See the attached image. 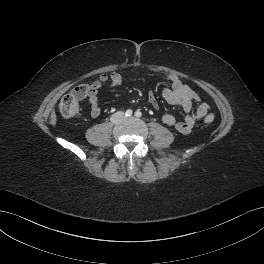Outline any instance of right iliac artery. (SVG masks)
I'll return each mask as SVG.
<instances>
[{
    "mask_svg": "<svg viewBox=\"0 0 264 264\" xmlns=\"http://www.w3.org/2000/svg\"><path fill=\"white\" fill-rule=\"evenodd\" d=\"M132 110L128 109L125 113L126 116H131L132 115Z\"/></svg>",
    "mask_w": 264,
    "mask_h": 264,
    "instance_id": "82829eb1",
    "label": "right iliac artery"
}]
</instances>
